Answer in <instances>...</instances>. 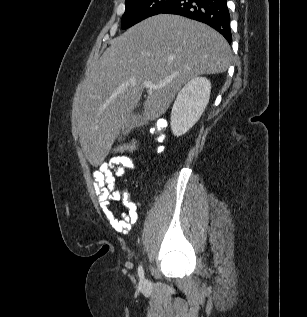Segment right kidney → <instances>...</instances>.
Returning a JSON list of instances; mask_svg holds the SVG:
<instances>
[{"mask_svg":"<svg viewBox=\"0 0 307 317\" xmlns=\"http://www.w3.org/2000/svg\"><path fill=\"white\" fill-rule=\"evenodd\" d=\"M210 92L211 83L205 77H195L183 86L171 111L170 126L174 136H182L200 119Z\"/></svg>","mask_w":307,"mask_h":317,"instance_id":"1","label":"right kidney"}]
</instances>
